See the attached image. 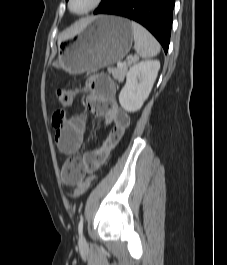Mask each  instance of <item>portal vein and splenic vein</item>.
<instances>
[{
	"label": "portal vein and splenic vein",
	"mask_w": 227,
	"mask_h": 265,
	"mask_svg": "<svg viewBox=\"0 0 227 265\" xmlns=\"http://www.w3.org/2000/svg\"><path fill=\"white\" fill-rule=\"evenodd\" d=\"M132 60H134V58H133V57H130V61H132ZM123 65H124V63L121 62V61H119V62L117 63V67H123Z\"/></svg>",
	"instance_id": "portal-vein-and-splenic-vein-1"
}]
</instances>
